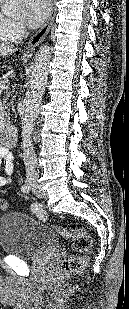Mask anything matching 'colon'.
Instances as JSON below:
<instances>
[{
	"label": "colon",
	"mask_w": 129,
	"mask_h": 309,
	"mask_svg": "<svg viewBox=\"0 0 129 309\" xmlns=\"http://www.w3.org/2000/svg\"><path fill=\"white\" fill-rule=\"evenodd\" d=\"M8 203L0 198V210H6ZM39 218L44 219L46 213L39 209L36 211ZM53 228L64 238L72 240V248L77 255L65 259L61 264V271L64 274H72L83 269L88 261V256L92 248V239L84 228L67 229L61 226H53Z\"/></svg>",
	"instance_id": "5ec220e1"
}]
</instances>
